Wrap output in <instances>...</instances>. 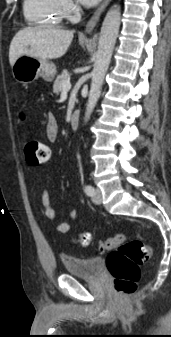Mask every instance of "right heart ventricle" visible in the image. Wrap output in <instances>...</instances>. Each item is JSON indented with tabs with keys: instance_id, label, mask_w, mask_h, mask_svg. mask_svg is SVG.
<instances>
[{
	"instance_id": "obj_1",
	"label": "right heart ventricle",
	"mask_w": 171,
	"mask_h": 337,
	"mask_svg": "<svg viewBox=\"0 0 171 337\" xmlns=\"http://www.w3.org/2000/svg\"><path fill=\"white\" fill-rule=\"evenodd\" d=\"M23 13L30 24L43 27L58 26L64 18L60 0H24Z\"/></svg>"
}]
</instances>
